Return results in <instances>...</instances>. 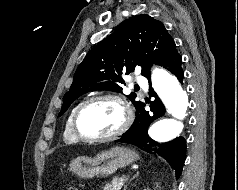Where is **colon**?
<instances>
[{
    "mask_svg": "<svg viewBox=\"0 0 238 190\" xmlns=\"http://www.w3.org/2000/svg\"><path fill=\"white\" fill-rule=\"evenodd\" d=\"M67 190H77L75 187H70Z\"/></svg>",
    "mask_w": 238,
    "mask_h": 190,
    "instance_id": "5ec220e1",
    "label": "colon"
}]
</instances>
